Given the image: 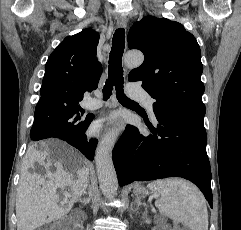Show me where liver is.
Listing matches in <instances>:
<instances>
[{
	"label": "liver",
	"mask_w": 241,
	"mask_h": 230,
	"mask_svg": "<svg viewBox=\"0 0 241 230\" xmlns=\"http://www.w3.org/2000/svg\"><path fill=\"white\" fill-rule=\"evenodd\" d=\"M50 144L58 150V160L50 158L51 150L46 145L42 150L32 145L25 155L16 197L17 230H34L59 219L70 211L88 186L87 160L63 142L52 141ZM35 163L45 168L44 176L29 171ZM66 186L72 193L58 205L57 189Z\"/></svg>",
	"instance_id": "6515ba94"
}]
</instances>
